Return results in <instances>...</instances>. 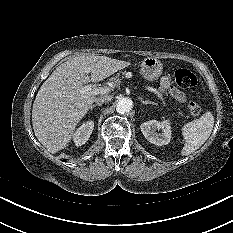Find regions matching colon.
<instances>
[{"label":"colon","instance_id":"obj_1","mask_svg":"<svg viewBox=\"0 0 233 233\" xmlns=\"http://www.w3.org/2000/svg\"><path fill=\"white\" fill-rule=\"evenodd\" d=\"M173 77L176 84L187 92H192L198 83L195 74L184 68L176 69ZM188 106L192 116L196 117L201 113V107L193 100L189 101Z\"/></svg>","mask_w":233,"mask_h":233}]
</instances>
